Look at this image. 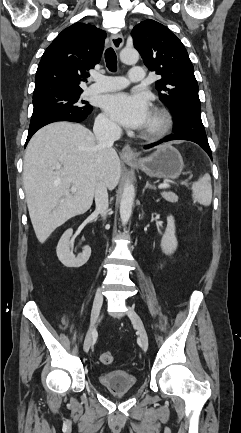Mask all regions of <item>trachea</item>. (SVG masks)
I'll return each instance as SVG.
<instances>
[{"label":"trachea","instance_id":"obj_1","mask_svg":"<svg viewBox=\"0 0 241 433\" xmlns=\"http://www.w3.org/2000/svg\"><path fill=\"white\" fill-rule=\"evenodd\" d=\"M105 61H106L107 68L110 71H112V72L116 71V68H117V56H116V53L113 50V48H108L105 51Z\"/></svg>","mask_w":241,"mask_h":433}]
</instances>
